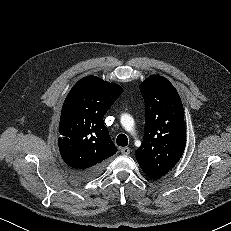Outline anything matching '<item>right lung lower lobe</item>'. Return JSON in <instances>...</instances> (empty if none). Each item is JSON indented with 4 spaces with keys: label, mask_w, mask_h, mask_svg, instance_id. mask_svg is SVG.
I'll return each instance as SVG.
<instances>
[{
    "label": "right lung lower lobe",
    "mask_w": 231,
    "mask_h": 231,
    "mask_svg": "<svg viewBox=\"0 0 231 231\" xmlns=\"http://www.w3.org/2000/svg\"><path fill=\"white\" fill-rule=\"evenodd\" d=\"M102 167L86 170L84 172H76L78 176L83 178H90L97 175L101 171Z\"/></svg>",
    "instance_id": "right-lung-lower-lobe-1"
}]
</instances>
